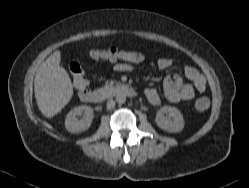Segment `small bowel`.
Listing matches in <instances>:
<instances>
[{
  "label": "small bowel",
  "instance_id": "obj_1",
  "mask_svg": "<svg viewBox=\"0 0 249 188\" xmlns=\"http://www.w3.org/2000/svg\"><path fill=\"white\" fill-rule=\"evenodd\" d=\"M134 56L131 59H125V63H119L116 70L120 72L131 71V63H139L143 60V55L136 51H128ZM174 65L173 60L167 57L159 58L157 66L161 70H167ZM184 78L177 74H171L164 80V95L165 98L173 103L190 101L194 98L195 93H203L206 90V81L197 69L192 66H185L183 69ZM147 100L154 106L161 104V96L159 92L149 87L144 90ZM85 99V98H84Z\"/></svg>",
  "mask_w": 249,
  "mask_h": 188
}]
</instances>
